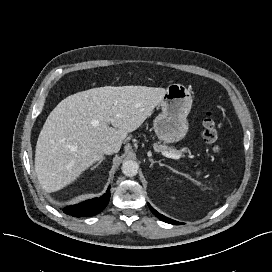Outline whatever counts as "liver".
Returning a JSON list of instances; mask_svg holds the SVG:
<instances>
[{
	"label": "liver",
	"instance_id": "1",
	"mask_svg": "<svg viewBox=\"0 0 272 272\" xmlns=\"http://www.w3.org/2000/svg\"><path fill=\"white\" fill-rule=\"evenodd\" d=\"M165 93L156 87L105 86L63 99L37 140L35 172L41 186L51 192L73 182L103 157L104 143H115L120 150L128 133L141 126Z\"/></svg>",
	"mask_w": 272,
	"mask_h": 272
}]
</instances>
